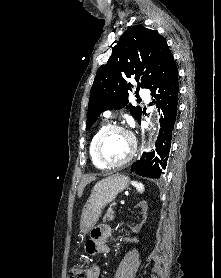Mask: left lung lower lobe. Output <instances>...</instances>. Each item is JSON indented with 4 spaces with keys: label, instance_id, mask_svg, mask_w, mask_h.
Listing matches in <instances>:
<instances>
[{
    "label": "left lung lower lobe",
    "instance_id": "1",
    "mask_svg": "<svg viewBox=\"0 0 221 278\" xmlns=\"http://www.w3.org/2000/svg\"><path fill=\"white\" fill-rule=\"evenodd\" d=\"M149 89L157 100L155 103L160 110L161 129L155 144L156 148L152 152L143 153L141 159L132 164L131 171L144 177L160 178L167 165L177 114L179 82L174 59L153 81Z\"/></svg>",
    "mask_w": 221,
    "mask_h": 278
}]
</instances>
